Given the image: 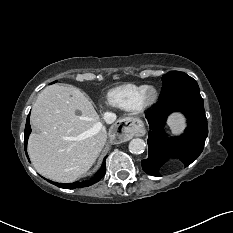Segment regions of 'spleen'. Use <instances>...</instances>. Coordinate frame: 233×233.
Instances as JSON below:
<instances>
[{"label": "spleen", "mask_w": 233, "mask_h": 233, "mask_svg": "<svg viewBox=\"0 0 233 233\" xmlns=\"http://www.w3.org/2000/svg\"><path fill=\"white\" fill-rule=\"evenodd\" d=\"M168 125L172 132L178 135L183 132L185 128V121L180 114H173L168 119Z\"/></svg>", "instance_id": "1"}]
</instances>
